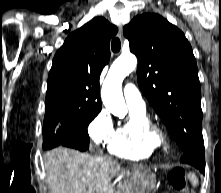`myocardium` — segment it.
I'll use <instances>...</instances> for the list:
<instances>
[{"label":"myocardium","instance_id":"obj_1","mask_svg":"<svg viewBox=\"0 0 221 193\" xmlns=\"http://www.w3.org/2000/svg\"><path fill=\"white\" fill-rule=\"evenodd\" d=\"M143 129L157 145H165L167 143V134L161 123L148 119Z\"/></svg>","mask_w":221,"mask_h":193}]
</instances>
